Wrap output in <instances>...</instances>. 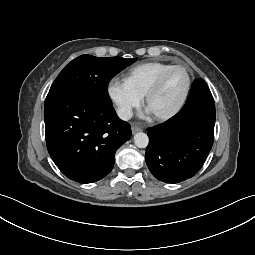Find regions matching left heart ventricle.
Wrapping results in <instances>:
<instances>
[{"mask_svg":"<svg viewBox=\"0 0 255 255\" xmlns=\"http://www.w3.org/2000/svg\"><path fill=\"white\" fill-rule=\"evenodd\" d=\"M187 85V74L176 69L169 74L161 90L151 99L148 109L152 114H164L170 111L182 97Z\"/></svg>","mask_w":255,"mask_h":255,"instance_id":"obj_1","label":"left heart ventricle"}]
</instances>
